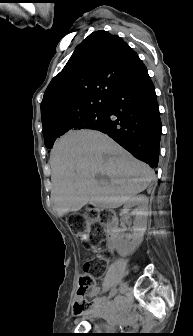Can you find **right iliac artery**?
<instances>
[{
  "label": "right iliac artery",
  "instance_id": "1",
  "mask_svg": "<svg viewBox=\"0 0 193 336\" xmlns=\"http://www.w3.org/2000/svg\"><path fill=\"white\" fill-rule=\"evenodd\" d=\"M119 296H116L113 302H118Z\"/></svg>",
  "mask_w": 193,
  "mask_h": 336
}]
</instances>
